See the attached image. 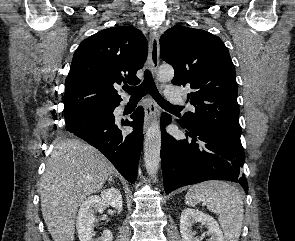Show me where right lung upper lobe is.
<instances>
[{"label": "right lung upper lobe", "mask_w": 295, "mask_h": 241, "mask_svg": "<svg viewBox=\"0 0 295 241\" xmlns=\"http://www.w3.org/2000/svg\"><path fill=\"white\" fill-rule=\"evenodd\" d=\"M147 40L134 27L104 29L83 40L74 53L66 78L64 112L118 105L114 85L138 84L136 72L147 57Z\"/></svg>", "instance_id": "right-lung-upper-lobe-1"}]
</instances>
